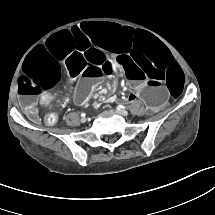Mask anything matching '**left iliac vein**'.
Instances as JSON below:
<instances>
[{
  "label": "left iliac vein",
  "instance_id": "1",
  "mask_svg": "<svg viewBox=\"0 0 215 215\" xmlns=\"http://www.w3.org/2000/svg\"><path fill=\"white\" fill-rule=\"evenodd\" d=\"M119 114H121L122 116H127L128 115V111L124 110V109H119L117 111Z\"/></svg>",
  "mask_w": 215,
  "mask_h": 215
}]
</instances>
